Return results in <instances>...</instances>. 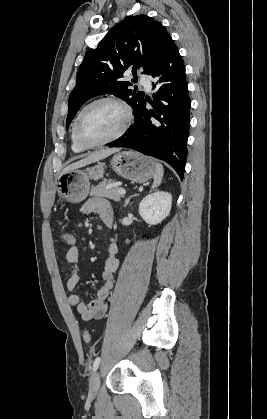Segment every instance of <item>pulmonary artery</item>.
Instances as JSON below:
<instances>
[{"instance_id": "obj_1", "label": "pulmonary artery", "mask_w": 267, "mask_h": 419, "mask_svg": "<svg viewBox=\"0 0 267 419\" xmlns=\"http://www.w3.org/2000/svg\"><path fill=\"white\" fill-rule=\"evenodd\" d=\"M140 84L144 86L146 90L151 89V78L148 75L140 76Z\"/></svg>"}]
</instances>
